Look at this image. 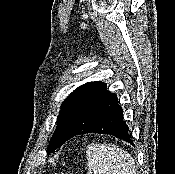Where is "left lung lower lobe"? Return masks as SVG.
I'll use <instances>...</instances> for the list:
<instances>
[{"label":"left lung lower lobe","mask_w":175,"mask_h":174,"mask_svg":"<svg viewBox=\"0 0 175 174\" xmlns=\"http://www.w3.org/2000/svg\"><path fill=\"white\" fill-rule=\"evenodd\" d=\"M106 87L101 83L79 101L66 126L63 144L73 136L96 132L113 135L133 145L117 95Z\"/></svg>","instance_id":"0a47b994"}]
</instances>
